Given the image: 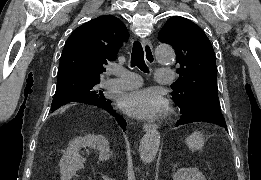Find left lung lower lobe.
I'll return each mask as SVG.
<instances>
[{"label":"left lung lower lobe","instance_id":"left-lung-lower-lobe-1","mask_svg":"<svg viewBox=\"0 0 261 180\" xmlns=\"http://www.w3.org/2000/svg\"><path fill=\"white\" fill-rule=\"evenodd\" d=\"M178 106L180 107V112L182 115L176 122V127L193 122H207L227 129L225 119L220 109L200 104Z\"/></svg>","mask_w":261,"mask_h":180}]
</instances>
